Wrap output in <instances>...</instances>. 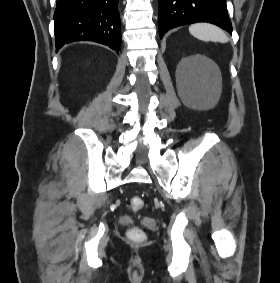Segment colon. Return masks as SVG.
<instances>
[{"mask_svg": "<svg viewBox=\"0 0 280 283\" xmlns=\"http://www.w3.org/2000/svg\"><path fill=\"white\" fill-rule=\"evenodd\" d=\"M130 205L133 210L138 211L143 208L144 201L141 197L136 196L131 199ZM128 234L132 239L141 240L144 238L143 231L137 227L131 228Z\"/></svg>", "mask_w": 280, "mask_h": 283, "instance_id": "5ec220e1", "label": "colon"}]
</instances>
